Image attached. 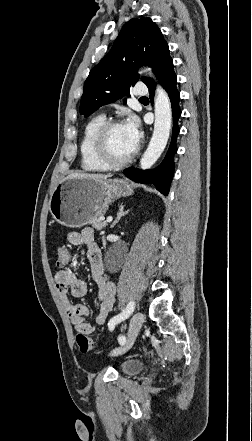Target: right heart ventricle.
<instances>
[{
    "mask_svg": "<svg viewBox=\"0 0 252 441\" xmlns=\"http://www.w3.org/2000/svg\"><path fill=\"white\" fill-rule=\"evenodd\" d=\"M106 120L104 115H96L85 124L80 145V164L81 168L86 172H104L108 168L98 161L92 152V139L99 126Z\"/></svg>",
    "mask_w": 252,
    "mask_h": 441,
    "instance_id": "1",
    "label": "right heart ventricle"
}]
</instances>
